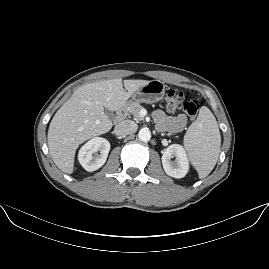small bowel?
Wrapping results in <instances>:
<instances>
[{
  "label": "small bowel",
  "instance_id": "small-bowel-1",
  "mask_svg": "<svg viewBox=\"0 0 269 269\" xmlns=\"http://www.w3.org/2000/svg\"><path fill=\"white\" fill-rule=\"evenodd\" d=\"M154 118L157 122L159 129L172 132L181 131L187 123V118L185 115L179 114L177 116L171 117L166 115L161 110H156L154 112Z\"/></svg>",
  "mask_w": 269,
  "mask_h": 269
}]
</instances>
